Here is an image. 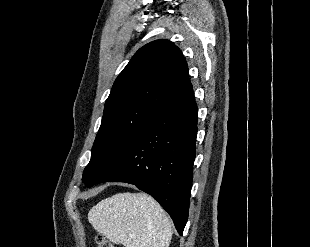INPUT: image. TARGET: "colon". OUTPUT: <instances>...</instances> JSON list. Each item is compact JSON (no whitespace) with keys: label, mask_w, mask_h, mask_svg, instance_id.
<instances>
[{"label":"colon","mask_w":310,"mask_h":247,"mask_svg":"<svg viewBox=\"0 0 310 247\" xmlns=\"http://www.w3.org/2000/svg\"><path fill=\"white\" fill-rule=\"evenodd\" d=\"M95 241L97 247H114V245L103 235H97Z\"/></svg>","instance_id":"obj_1"}]
</instances>
